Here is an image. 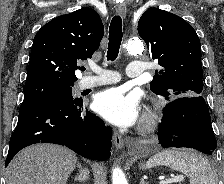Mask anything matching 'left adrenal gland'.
Returning a JSON list of instances; mask_svg holds the SVG:
<instances>
[{
  "label": "left adrenal gland",
  "instance_id": "a2214340",
  "mask_svg": "<svg viewBox=\"0 0 224 184\" xmlns=\"http://www.w3.org/2000/svg\"><path fill=\"white\" fill-rule=\"evenodd\" d=\"M140 184H146L143 178H141Z\"/></svg>",
  "mask_w": 224,
  "mask_h": 184
}]
</instances>
